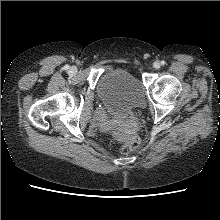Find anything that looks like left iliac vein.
Returning a JSON list of instances; mask_svg holds the SVG:
<instances>
[{
  "label": "left iliac vein",
  "instance_id": "left-iliac-vein-1",
  "mask_svg": "<svg viewBox=\"0 0 220 220\" xmlns=\"http://www.w3.org/2000/svg\"><path fill=\"white\" fill-rule=\"evenodd\" d=\"M153 67L156 69L160 68V62L158 61L154 62Z\"/></svg>",
  "mask_w": 220,
  "mask_h": 220
}]
</instances>
